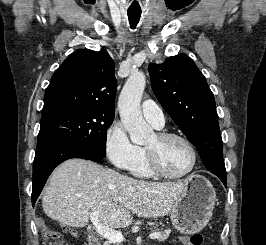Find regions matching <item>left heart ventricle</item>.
<instances>
[{"instance_id": "1", "label": "left heart ventricle", "mask_w": 266, "mask_h": 245, "mask_svg": "<svg viewBox=\"0 0 266 245\" xmlns=\"http://www.w3.org/2000/svg\"><path fill=\"white\" fill-rule=\"evenodd\" d=\"M145 148L154 156L161 170L169 175L180 176L191 166V150L179 139L162 140L155 134Z\"/></svg>"}]
</instances>
